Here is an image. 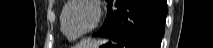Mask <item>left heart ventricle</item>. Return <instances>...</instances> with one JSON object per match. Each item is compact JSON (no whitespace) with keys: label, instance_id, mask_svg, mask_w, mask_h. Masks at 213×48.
<instances>
[{"label":"left heart ventricle","instance_id":"b2bd125f","mask_svg":"<svg viewBox=\"0 0 213 48\" xmlns=\"http://www.w3.org/2000/svg\"><path fill=\"white\" fill-rule=\"evenodd\" d=\"M95 19V11L92 6L85 3H77L71 6L65 16L67 31L81 33L87 30Z\"/></svg>","mask_w":213,"mask_h":48}]
</instances>
